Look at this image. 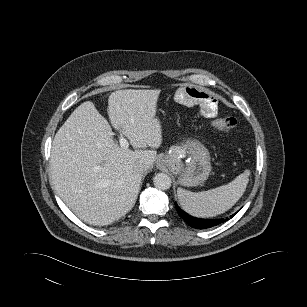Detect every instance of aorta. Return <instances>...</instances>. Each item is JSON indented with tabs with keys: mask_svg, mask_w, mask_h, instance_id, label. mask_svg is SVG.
<instances>
[{
	"mask_svg": "<svg viewBox=\"0 0 307 307\" xmlns=\"http://www.w3.org/2000/svg\"><path fill=\"white\" fill-rule=\"evenodd\" d=\"M154 185L157 189L167 190L171 187L172 181L169 175L158 173L153 178Z\"/></svg>",
	"mask_w": 307,
	"mask_h": 307,
	"instance_id": "obj_1",
	"label": "aorta"
}]
</instances>
